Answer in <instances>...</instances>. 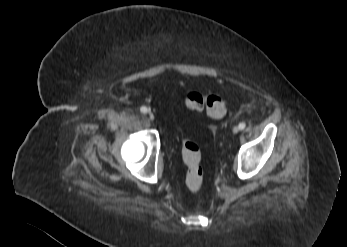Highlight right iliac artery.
<instances>
[{
  "mask_svg": "<svg viewBox=\"0 0 347 247\" xmlns=\"http://www.w3.org/2000/svg\"><path fill=\"white\" fill-rule=\"evenodd\" d=\"M140 111H141L142 113H147L149 110L147 109V107L142 106V107L140 108Z\"/></svg>",
  "mask_w": 347,
  "mask_h": 247,
  "instance_id": "82829eb1",
  "label": "right iliac artery"
}]
</instances>
